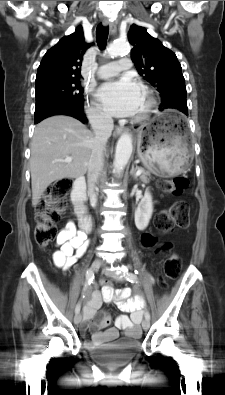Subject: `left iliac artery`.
<instances>
[{"mask_svg":"<svg viewBox=\"0 0 225 395\" xmlns=\"http://www.w3.org/2000/svg\"><path fill=\"white\" fill-rule=\"evenodd\" d=\"M125 278L127 281L131 282V283H137V276L134 273L131 272H127L126 274H124ZM145 319L150 320V313L146 310L145 312Z\"/></svg>","mask_w":225,"mask_h":395,"instance_id":"left-iliac-artery-1","label":"left iliac artery"}]
</instances>
